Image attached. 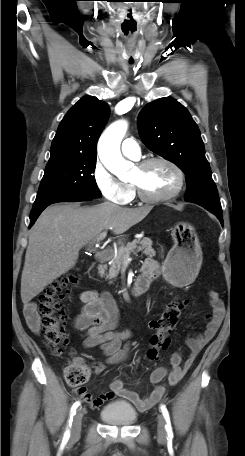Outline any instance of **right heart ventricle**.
Here are the masks:
<instances>
[{
	"label": "right heart ventricle",
	"mask_w": 245,
	"mask_h": 456,
	"mask_svg": "<svg viewBox=\"0 0 245 456\" xmlns=\"http://www.w3.org/2000/svg\"><path fill=\"white\" fill-rule=\"evenodd\" d=\"M130 188H131V196H130V200H131L133 198V196H134V190H133V188L131 186H130Z\"/></svg>",
	"instance_id": "1"
}]
</instances>
